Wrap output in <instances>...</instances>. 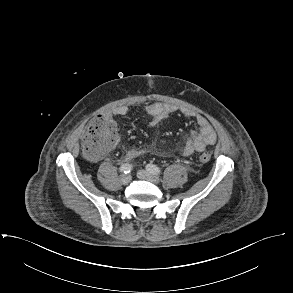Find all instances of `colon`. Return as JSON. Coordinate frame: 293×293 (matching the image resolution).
<instances>
[{
	"label": "colon",
	"instance_id": "5ec220e1",
	"mask_svg": "<svg viewBox=\"0 0 293 293\" xmlns=\"http://www.w3.org/2000/svg\"><path fill=\"white\" fill-rule=\"evenodd\" d=\"M117 143V126L113 120L103 116L93 117L82 138L83 153L90 159H98L103 153ZM211 159L210 152L199 156V161L207 163Z\"/></svg>",
	"mask_w": 293,
	"mask_h": 293
}]
</instances>
